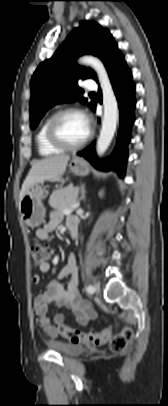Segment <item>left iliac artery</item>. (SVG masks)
Segmentation results:
<instances>
[{
    "label": "left iliac artery",
    "instance_id": "44dca946",
    "mask_svg": "<svg viewBox=\"0 0 168 406\" xmlns=\"http://www.w3.org/2000/svg\"><path fill=\"white\" fill-rule=\"evenodd\" d=\"M86 291H87L89 294H93V293L95 292V288H94L92 285H89V286L86 288Z\"/></svg>",
    "mask_w": 168,
    "mask_h": 406
}]
</instances>
